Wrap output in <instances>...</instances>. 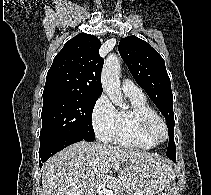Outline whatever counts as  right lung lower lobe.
Instances as JSON below:
<instances>
[{"label":"right lung lower lobe","mask_w":211,"mask_h":195,"mask_svg":"<svg viewBox=\"0 0 211 195\" xmlns=\"http://www.w3.org/2000/svg\"><path fill=\"white\" fill-rule=\"evenodd\" d=\"M85 140L81 136H62L58 138H54L52 140L46 141L40 144L39 149V162L40 167H42V163H44L47 159H49L52 155L64 149L65 147Z\"/></svg>","instance_id":"1"}]
</instances>
